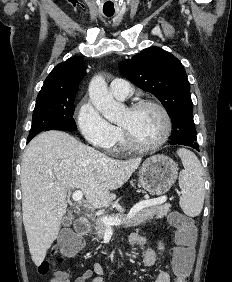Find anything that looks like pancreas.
<instances>
[{"instance_id":"pancreas-1","label":"pancreas","mask_w":232,"mask_h":282,"mask_svg":"<svg viewBox=\"0 0 232 282\" xmlns=\"http://www.w3.org/2000/svg\"><path fill=\"white\" fill-rule=\"evenodd\" d=\"M170 207L171 205L169 203H166L164 205H155V206L147 207L142 209L136 216L130 219L127 217V215L123 213L112 214L109 217L121 219L123 223L122 225H124V227L126 228H129L132 226L141 225L146 221L152 220L154 217L156 219H162L163 217L167 216V214L170 212ZM94 227H95L97 238L98 239L102 238L107 229V226L100 220H96Z\"/></svg>"}]
</instances>
